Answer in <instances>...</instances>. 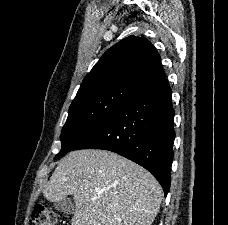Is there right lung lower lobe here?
I'll return each mask as SVG.
<instances>
[{"instance_id": "98d812e1", "label": "right lung lower lobe", "mask_w": 228, "mask_h": 225, "mask_svg": "<svg viewBox=\"0 0 228 225\" xmlns=\"http://www.w3.org/2000/svg\"><path fill=\"white\" fill-rule=\"evenodd\" d=\"M174 115L171 89L162 71L70 151L103 149L124 156L152 173L166 196L171 183Z\"/></svg>"}]
</instances>
